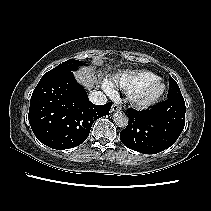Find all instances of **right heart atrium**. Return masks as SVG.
Wrapping results in <instances>:
<instances>
[{"mask_svg":"<svg viewBox=\"0 0 211 211\" xmlns=\"http://www.w3.org/2000/svg\"><path fill=\"white\" fill-rule=\"evenodd\" d=\"M104 89L110 96H114L116 94V91L110 82H105Z\"/></svg>","mask_w":211,"mask_h":211,"instance_id":"obj_1","label":"right heart atrium"}]
</instances>
